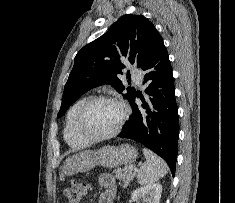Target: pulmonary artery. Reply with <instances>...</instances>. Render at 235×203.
<instances>
[{"instance_id":"1","label":"pulmonary artery","mask_w":235,"mask_h":203,"mask_svg":"<svg viewBox=\"0 0 235 203\" xmlns=\"http://www.w3.org/2000/svg\"><path fill=\"white\" fill-rule=\"evenodd\" d=\"M132 77L134 79V81L137 83V84H141L142 83V79H143V76L140 72L138 71H133L132 73Z\"/></svg>"}]
</instances>
